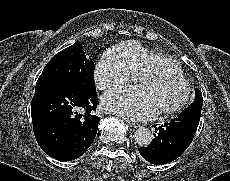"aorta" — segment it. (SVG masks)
<instances>
[{"instance_id":"aorta-1","label":"aorta","mask_w":230,"mask_h":181,"mask_svg":"<svg viewBox=\"0 0 230 181\" xmlns=\"http://www.w3.org/2000/svg\"><path fill=\"white\" fill-rule=\"evenodd\" d=\"M153 137L151 130L146 127L138 128L134 135L136 143L141 147H147L151 144Z\"/></svg>"}]
</instances>
